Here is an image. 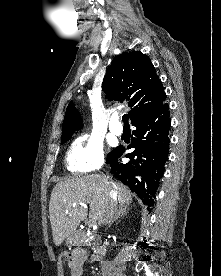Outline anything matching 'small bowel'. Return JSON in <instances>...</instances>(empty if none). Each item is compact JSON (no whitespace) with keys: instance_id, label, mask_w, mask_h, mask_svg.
Returning a JSON list of instances; mask_svg holds the SVG:
<instances>
[{"instance_id":"c3829d8e","label":"small bowel","mask_w":221,"mask_h":276,"mask_svg":"<svg viewBox=\"0 0 221 276\" xmlns=\"http://www.w3.org/2000/svg\"><path fill=\"white\" fill-rule=\"evenodd\" d=\"M97 260L98 258L93 256L91 261ZM88 263L89 261L86 251L81 248L74 249L71 254V259L68 262L71 276H82Z\"/></svg>"}]
</instances>
